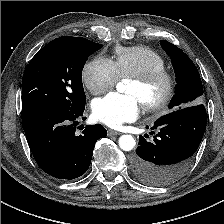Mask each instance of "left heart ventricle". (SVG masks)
Instances as JSON below:
<instances>
[{
  "label": "left heart ventricle",
  "mask_w": 224,
  "mask_h": 224,
  "mask_svg": "<svg viewBox=\"0 0 224 224\" xmlns=\"http://www.w3.org/2000/svg\"><path fill=\"white\" fill-rule=\"evenodd\" d=\"M163 89H164L163 82H157L150 87H144L141 84L132 80L127 86L126 91L129 94L136 95L143 103L148 99L159 97Z\"/></svg>",
  "instance_id": "1"
}]
</instances>
